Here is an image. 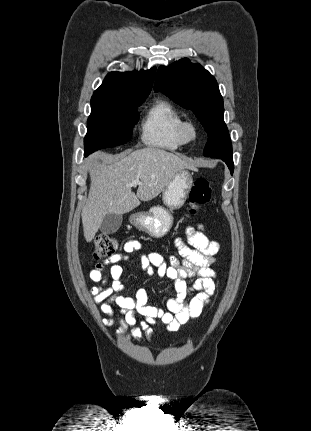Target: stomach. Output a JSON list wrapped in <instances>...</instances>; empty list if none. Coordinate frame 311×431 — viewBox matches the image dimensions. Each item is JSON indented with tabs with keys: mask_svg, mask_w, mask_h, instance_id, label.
Segmentation results:
<instances>
[{
	"mask_svg": "<svg viewBox=\"0 0 311 431\" xmlns=\"http://www.w3.org/2000/svg\"><path fill=\"white\" fill-rule=\"evenodd\" d=\"M193 186V176L189 170H181L175 174L170 184L162 192L163 206H152L149 212L131 214L129 221L146 231L151 237H163L170 231L174 223V210L184 206Z\"/></svg>",
	"mask_w": 311,
	"mask_h": 431,
	"instance_id": "0dacf381",
	"label": "stomach"
}]
</instances>
